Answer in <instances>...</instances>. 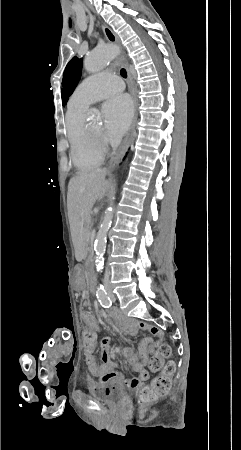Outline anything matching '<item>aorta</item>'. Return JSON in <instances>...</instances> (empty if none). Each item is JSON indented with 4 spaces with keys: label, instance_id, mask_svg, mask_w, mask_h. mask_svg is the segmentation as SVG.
Listing matches in <instances>:
<instances>
[{
    "label": "aorta",
    "instance_id": "obj_1",
    "mask_svg": "<svg viewBox=\"0 0 241 450\" xmlns=\"http://www.w3.org/2000/svg\"><path fill=\"white\" fill-rule=\"evenodd\" d=\"M119 49L112 44L102 45L88 53L84 59V68L89 73H96L101 71L108 65L118 54ZM95 114V110L91 111ZM113 219L112 203L106 209L103 221L97 233L94 251L96 253V267L97 271H101L104 266V254L106 251L107 233L111 227Z\"/></svg>",
    "mask_w": 241,
    "mask_h": 450
}]
</instances>
